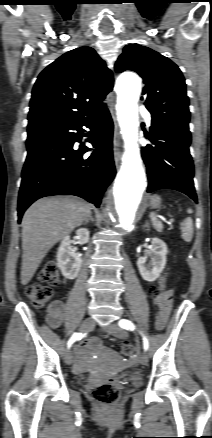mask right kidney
Segmentation results:
<instances>
[{
  "instance_id": "ca27d5eb",
  "label": "right kidney",
  "mask_w": 212,
  "mask_h": 438,
  "mask_svg": "<svg viewBox=\"0 0 212 438\" xmlns=\"http://www.w3.org/2000/svg\"><path fill=\"white\" fill-rule=\"evenodd\" d=\"M75 238L81 244L87 243L89 241L88 229H78ZM71 243L70 236H65L57 252V265L63 276L70 280L75 279L78 276L82 266V259L74 250H72Z\"/></svg>"
}]
</instances>
